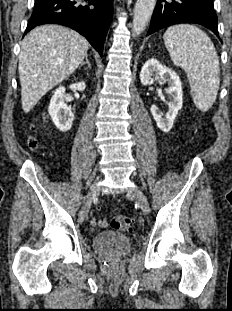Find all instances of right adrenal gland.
<instances>
[{
    "instance_id": "obj_1",
    "label": "right adrenal gland",
    "mask_w": 232,
    "mask_h": 311,
    "mask_svg": "<svg viewBox=\"0 0 232 311\" xmlns=\"http://www.w3.org/2000/svg\"><path fill=\"white\" fill-rule=\"evenodd\" d=\"M88 65V67L89 68H91V63H90V61L88 60V56L86 55V57H85V61L79 66V68H81L82 66H84V65Z\"/></svg>"
}]
</instances>
